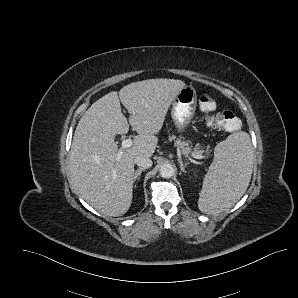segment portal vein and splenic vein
I'll use <instances>...</instances> for the list:
<instances>
[{
	"label": "portal vein and splenic vein",
	"mask_w": 298,
	"mask_h": 298,
	"mask_svg": "<svg viewBox=\"0 0 298 298\" xmlns=\"http://www.w3.org/2000/svg\"><path fill=\"white\" fill-rule=\"evenodd\" d=\"M132 146V139H125L122 141L121 143V147L116 155V160H120L123 153H124V150L131 147ZM192 157L195 158V159H203L204 156L202 154H195V153H192Z\"/></svg>",
	"instance_id": "portal-vein-and-splenic-vein-1"
}]
</instances>
